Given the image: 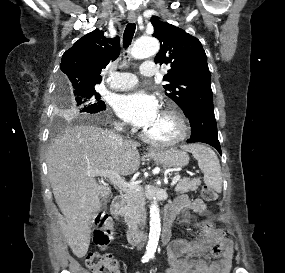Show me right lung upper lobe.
I'll list each match as a JSON object with an SVG mask.
<instances>
[{
	"mask_svg": "<svg viewBox=\"0 0 285 273\" xmlns=\"http://www.w3.org/2000/svg\"><path fill=\"white\" fill-rule=\"evenodd\" d=\"M120 54V39H108L104 32L95 29L67 50L61 61V78L71 90L94 88L101 82L100 72Z\"/></svg>",
	"mask_w": 285,
	"mask_h": 273,
	"instance_id": "1",
	"label": "right lung upper lobe"
}]
</instances>
